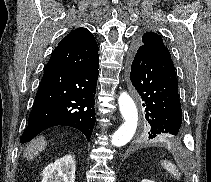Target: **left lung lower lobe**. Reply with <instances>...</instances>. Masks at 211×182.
I'll list each match as a JSON object with an SVG mask.
<instances>
[{"mask_svg":"<svg viewBox=\"0 0 211 182\" xmlns=\"http://www.w3.org/2000/svg\"><path fill=\"white\" fill-rule=\"evenodd\" d=\"M131 86L143 101L150 127L146 138L178 141L183 134L178 83L144 47H135L130 56Z\"/></svg>","mask_w":211,"mask_h":182,"instance_id":"1","label":"left lung lower lobe"}]
</instances>
